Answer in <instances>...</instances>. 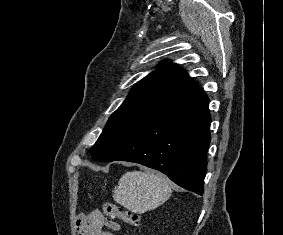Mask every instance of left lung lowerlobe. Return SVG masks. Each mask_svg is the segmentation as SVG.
Masks as SVG:
<instances>
[{
  "mask_svg": "<svg viewBox=\"0 0 283 235\" xmlns=\"http://www.w3.org/2000/svg\"><path fill=\"white\" fill-rule=\"evenodd\" d=\"M208 98L199 88L141 128L105 161H129L166 174L202 195L210 144Z\"/></svg>",
  "mask_w": 283,
  "mask_h": 235,
  "instance_id": "1",
  "label": "left lung lower lobe"
}]
</instances>
